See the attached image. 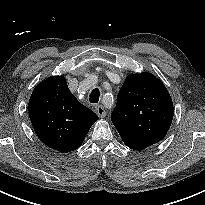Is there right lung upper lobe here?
Returning <instances> with one entry per match:
<instances>
[{
    "instance_id": "1",
    "label": "right lung upper lobe",
    "mask_w": 205,
    "mask_h": 205,
    "mask_svg": "<svg viewBox=\"0 0 205 205\" xmlns=\"http://www.w3.org/2000/svg\"><path fill=\"white\" fill-rule=\"evenodd\" d=\"M32 126L48 147L71 152L81 146L98 116L82 105L69 91L62 76L38 84L29 100Z\"/></svg>"
}]
</instances>
